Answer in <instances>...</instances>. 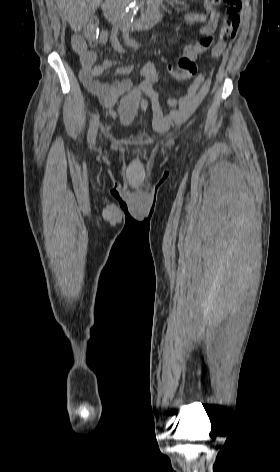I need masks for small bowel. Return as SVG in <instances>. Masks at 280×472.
I'll return each mask as SVG.
<instances>
[{"mask_svg":"<svg viewBox=\"0 0 280 472\" xmlns=\"http://www.w3.org/2000/svg\"><path fill=\"white\" fill-rule=\"evenodd\" d=\"M205 10L202 12H185L184 20L188 24L201 25V37L192 44H188L184 49V54L180 60L194 62L198 55L211 49L213 58L220 57L227 45L228 39L235 38L239 24L232 26L225 24L221 30L220 37L215 39L216 25L218 22V11L215 4L210 0H204ZM108 33L102 30L99 36V44H106ZM74 51L78 54L81 63L80 79L84 86L94 94L101 104L106 108H112L118 98L129 91L132 82L129 79H120L112 83H102L96 78L108 71L113 70L114 75H125L134 71L133 65H118L113 60H105L101 64H96V53L89 49L86 42L79 35L72 39ZM142 79L141 88L151 100L155 125L158 128L166 129L172 122H183L202 103L208 94L212 77H205L202 74H195L186 94L178 100L170 99L168 104L170 111L165 114L160 103L159 94L154 90L153 84L158 78L157 70L152 62L145 63L138 72Z\"/></svg>","mask_w":280,"mask_h":472,"instance_id":"obj_1","label":"small bowel"}]
</instances>
